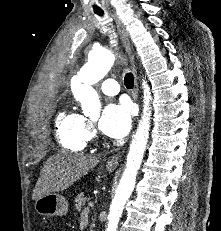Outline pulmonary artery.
Returning <instances> with one entry per match:
<instances>
[{
    "mask_svg": "<svg viewBox=\"0 0 221 231\" xmlns=\"http://www.w3.org/2000/svg\"><path fill=\"white\" fill-rule=\"evenodd\" d=\"M101 91L108 96H113L119 93L120 88L118 83L112 79L104 80L100 85Z\"/></svg>",
    "mask_w": 221,
    "mask_h": 231,
    "instance_id": "pulmonary-artery-1",
    "label": "pulmonary artery"
}]
</instances>
